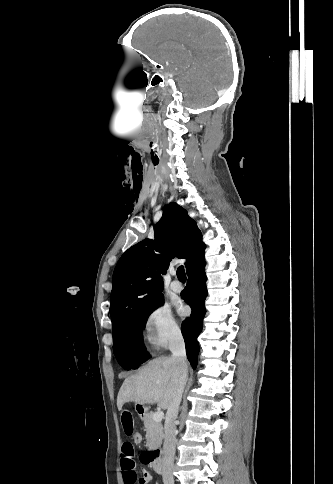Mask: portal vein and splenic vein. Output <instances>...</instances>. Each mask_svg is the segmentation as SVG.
<instances>
[{
  "label": "portal vein and splenic vein",
  "mask_w": 333,
  "mask_h": 484,
  "mask_svg": "<svg viewBox=\"0 0 333 484\" xmlns=\"http://www.w3.org/2000/svg\"><path fill=\"white\" fill-rule=\"evenodd\" d=\"M163 418H164V413L162 411H158L153 414V420L155 422H161Z\"/></svg>",
  "instance_id": "18ae733b"
}]
</instances>
